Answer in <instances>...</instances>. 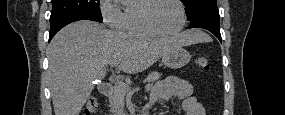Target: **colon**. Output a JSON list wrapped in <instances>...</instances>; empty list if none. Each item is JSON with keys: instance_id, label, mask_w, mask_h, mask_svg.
I'll use <instances>...</instances> for the list:
<instances>
[{"instance_id": "obj_1", "label": "colon", "mask_w": 285, "mask_h": 115, "mask_svg": "<svg viewBox=\"0 0 285 115\" xmlns=\"http://www.w3.org/2000/svg\"><path fill=\"white\" fill-rule=\"evenodd\" d=\"M196 66L202 70V71H208L209 70V62L208 59L205 57H198L195 60ZM99 110V103L95 98H90L88 99L85 109H84V114H95Z\"/></svg>"}]
</instances>
